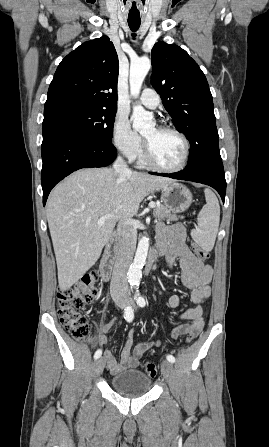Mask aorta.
<instances>
[{"label": "aorta", "instance_id": "762f6f07", "mask_svg": "<svg viewBox=\"0 0 269 447\" xmlns=\"http://www.w3.org/2000/svg\"><path fill=\"white\" fill-rule=\"evenodd\" d=\"M151 68V60L147 56L138 58L135 62H131L130 66V94L133 98H138L141 86ZM133 128L137 132L142 130H153V116L150 112H146L143 106H133L132 110ZM149 247V237H141L137 251L135 253L134 261L128 269V281L130 283H139L142 277V267L146 261Z\"/></svg>", "mask_w": 269, "mask_h": 447}]
</instances>
